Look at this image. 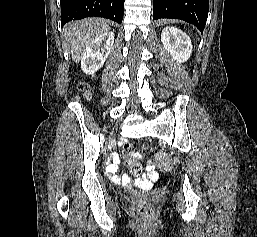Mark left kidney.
I'll list each match as a JSON object with an SVG mask.
<instances>
[{
	"label": "left kidney",
	"instance_id": "left-kidney-1",
	"mask_svg": "<svg viewBox=\"0 0 257 237\" xmlns=\"http://www.w3.org/2000/svg\"><path fill=\"white\" fill-rule=\"evenodd\" d=\"M161 42L168 53L177 62H185L192 53V44L188 35L173 27H166L161 33Z\"/></svg>",
	"mask_w": 257,
	"mask_h": 237
}]
</instances>
